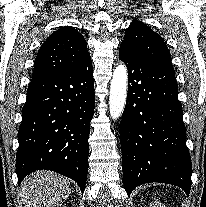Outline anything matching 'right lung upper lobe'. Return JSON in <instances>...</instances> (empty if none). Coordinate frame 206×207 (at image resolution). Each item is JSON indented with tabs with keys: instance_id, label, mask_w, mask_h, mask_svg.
Masks as SVG:
<instances>
[{
	"instance_id": "cb5924a9",
	"label": "right lung upper lobe",
	"mask_w": 206,
	"mask_h": 207,
	"mask_svg": "<svg viewBox=\"0 0 206 207\" xmlns=\"http://www.w3.org/2000/svg\"><path fill=\"white\" fill-rule=\"evenodd\" d=\"M89 59L84 37L73 27L64 26L51 34L38 51L32 80L66 74Z\"/></svg>"
}]
</instances>
